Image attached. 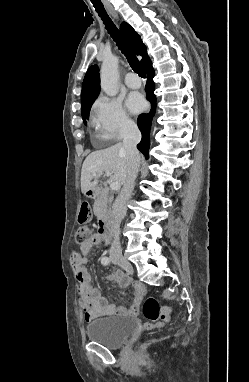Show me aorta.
Returning a JSON list of instances; mask_svg holds the SVG:
<instances>
[{"label":"aorta","mask_w":249,"mask_h":382,"mask_svg":"<svg viewBox=\"0 0 249 382\" xmlns=\"http://www.w3.org/2000/svg\"><path fill=\"white\" fill-rule=\"evenodd\" d=\"M118 58L111 56L102 62L100 70L101 89L108 96H116L118 93Z\"/></svg>","instance_id":"obj_1"}]
</instances>
